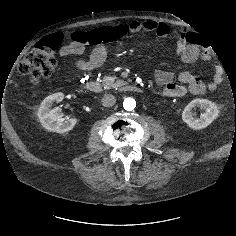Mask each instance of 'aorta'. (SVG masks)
Segmentation results:
<instances>
[{
    "instance_id": "obj_1",
    "label": "aorta",
    "mask_w": 236,
    "mask_h": 236,
    "mask_svg": "<svg viewBox=\"0 0 236 236\" xmlns=\"http://www.w3.org/2000/svg\"><path fill=\"white\" fill-rule=\"evenodd\" d=\"M123 107L125 110L127 111H132L134 110V108L136 107V101L135 99L128 97L126 99H124L123 101Z\"/></svg>"
}]
</instances>
